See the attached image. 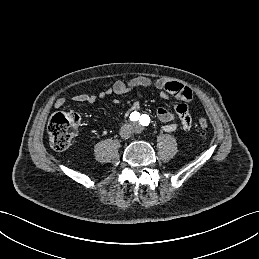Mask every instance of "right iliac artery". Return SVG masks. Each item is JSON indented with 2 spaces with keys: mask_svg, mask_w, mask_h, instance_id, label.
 I'll return each mask as SVG.
<instances>
[{
  "mask_svg": "<svg viewBox=\"0 0 259 259\" xmlns=\"http://www.w3.org/2000/svg\"><path fill=\"white\" fill-rule=\"evenodd\" d=\"M139 117H140V114H139V112H132L131 114H130V120L131 121H137L138 119H139Z\"/></svg>",
  "mask_w": 259,
  "mask_h": 259,
  "instance_id": "1",
  "label": "right iliac artery"
}]
</instances>
